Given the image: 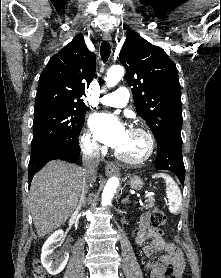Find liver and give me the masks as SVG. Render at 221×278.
I'll use <instances>...</instances> for the list:
<instances>
[{"mask_svg": "<svg viewBox=\"0 0 221 278\" xmlns=\"http://www.w3.org/2000/svg\"><path fill=\"white\" fill-rule=\"evenodd\" d=\"M90 181H95V177ZM84 183V170L61 160L47 163L34 176L29 201L38 236L49 234L67 221L76 208Z\"/></svg>", "mask_w": 221, "mask_h": 278, "instance_id": "liver-1", "label": "liver"}]
</instances>
